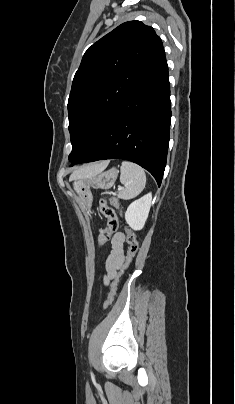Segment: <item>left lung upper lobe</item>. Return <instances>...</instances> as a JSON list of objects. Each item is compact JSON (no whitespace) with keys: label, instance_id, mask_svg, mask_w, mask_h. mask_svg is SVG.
Segmentation results:
<instances>
[{"label":"left lung upper lobe","instance_id":"obj_1","mask_svg":"<svg viewBox=\"0 0 235 404\" xmlns=\"http://www.w3.org/2000/svg\"><path fill=\"white\" fill-rule=\"evenodd\" d=\"M164 56L160 37L140 21L121 24L87 49L68 99L72 164Z\"/></svg>","mask_w":235,"mask_h":404}]
</instances>
